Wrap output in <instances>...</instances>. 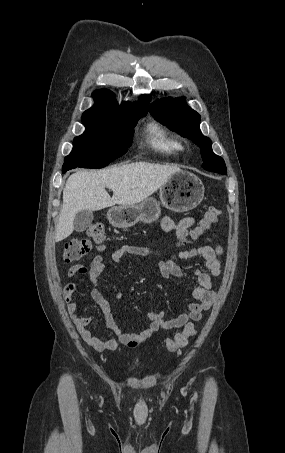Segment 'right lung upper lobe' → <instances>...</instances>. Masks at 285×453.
<instances>
[{
	"label": "right lung upper lobe",
	"instance_id": "1",
	"mask_svg": "<svg viewBox=\"0 0 285 453\" xmlns=\"http://www.w3.org/2000/svg\"><path fill=\"white\" fill-rule=\"evenodd\" d=\"M92 96L95 99V105L87 111L107 112L115 114H130L141 111H148L150 97L147 95L140 96L138 101L124 102L118 105L113 102L114 94L109 90H96Z\"/></svg>",
	"mask_w": 285,
	"mask_h": 453
}]
</instances>
